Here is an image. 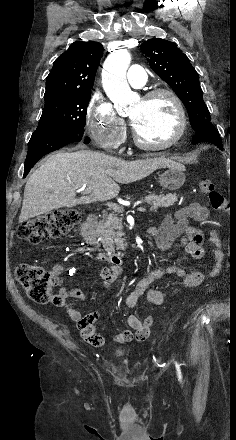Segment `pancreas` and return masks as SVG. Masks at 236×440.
<instances>
[{
  "instance_id": "1",
  "label": "pancreas",
  "mask_w": 236,
  "mask_h": 440,
  "mask_svg": "<svg viewBox=\"0 0 236 440\" xmlns=\"http://www.w3.org/2000/svg\"><path fill=\"white\" fill-rule=\"evenodd\" d=\"M176 194L167 195H147L144 199L153 211H156L159 207L168 208L177 202ZM98 233L101 238V243L107 252H114L115 248L123 250L126 247L122 232L121 218L117 216L116 212L105 214L102 220L98 223Z\"/></svg>"
}]
</instances>
